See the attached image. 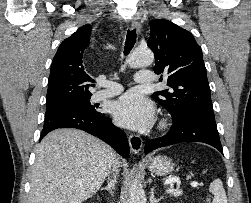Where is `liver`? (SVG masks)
<instances>
[{"mask_svg":"<svg viewBox=\"0 0 251 203\" xmlns=\"http://www.w3.org/2000/svg\"><path fill=\"white\" fill-rule=\"evenodd\" d=\"M116 164L115 152L101 140L81 130H54L36 148L29 203H82Z\"/></svg>","mask_w":251,"mask_h":203,"instance_id":"1","label":"liver"}]
</instances>
